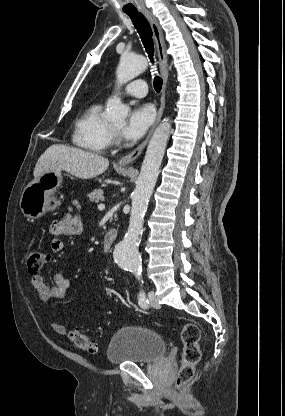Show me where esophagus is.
<instances>
[{
    "label": "esophagus",
    "mask_w": 285,
    "mask_h": 416,
    "mask_svg": "<svg viewBox=\"0 0 285 416\" xmlns=\"http://www.w3.org/2000/svg\"><path fill=\"white\" fill-rule=\"evenodd\" d=\"M143 15L146 17V19L148 20V22L150 24V27L152 29V32H153V35H154V38H155V42H156L157 54H158V59H159V69H160V72H161V75H162V78H163V86H162V90H161V105H160L159 110L157 112L155 122H154L152 128L150 129L147 137L145 138V140L142 143H140V145H138L135 148V150L131 151V153H128V155L123 156V158H121V160H119V164L121 166L129 165L134 160H136V158H138V156L142 153L145 146L149 142V139H150L153 131L155 130L158 123L160 122L161 117H162L163 112H164V108H165V94H166V87H167V82H168V61H167L165 42H164L162 31H161V29L159 27V24H158L156 18L154 17V15H152L151 12H143Z\"/></svg>",
    "instance_id": "obj_1"
}]
</instances>
